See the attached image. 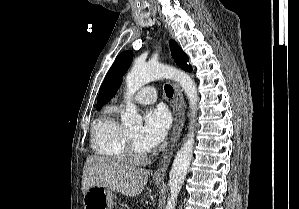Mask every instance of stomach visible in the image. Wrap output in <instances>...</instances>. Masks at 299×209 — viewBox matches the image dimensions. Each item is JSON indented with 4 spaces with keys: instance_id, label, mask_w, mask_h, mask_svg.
Here are the masks:
<instances>
[{
    "instance_id": "1",
    "label": "stomach",
    "mask_w": 299,
    "mask_h": 209,
    "mask_svg": "<svg viewBox=\"0 0 299 209\" xmlns=\"http://www.w3.org/2000/svg\"><path fill=\"white\" fill-rule=\"evenodd\" d=\"M156 185H160V182H156ZM114 198L112 190L102 186H93L84 195V209H112Z\"/></svg>"
}]
</instances>
